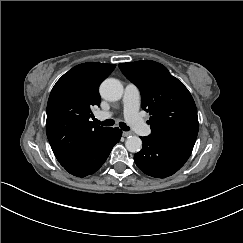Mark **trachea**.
I'll use <instances>...</instances> for the list:
<instances>
[{"instance_id":"trachea-1","label":"trachea","mask_w":243,"mask_h":243,"mask_svg":"<svg viewBox=\"0 0 243 243\" xmlns=\"http://www.w3.org/2000/svg\"><path fill=\"white\" fill-rule=\"evenodd\" d=\"M94 123H97V124H99L101 126H113L115 122H114L113 119H106L105 121H99L97 119H94ZM119 126L124 131H129L130 130L129 126H127L126 123H124V122H120Z\"/></svg>"}]
</instances>
